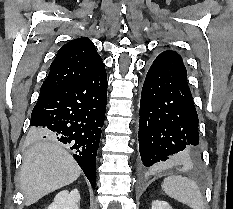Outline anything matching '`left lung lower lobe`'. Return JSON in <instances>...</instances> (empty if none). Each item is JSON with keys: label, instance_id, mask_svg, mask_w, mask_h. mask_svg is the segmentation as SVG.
Masks as SVG:
<instances>
[{"label": "left lung lower lobe", "instance_id": "obj_1", "mask_svg": "<svg viewBox=\"0 0 233 209\" xmlns=\"http://www.w3.org/2000/svg\"><path fill=\"white\" fill-rule=\"evenodd\" d=\"M198 115L181 56L164 51L153 61L143 84L139 151L148 170L199 161Z\"/></svg>", "mask_w": 233, "mask_h": 209}]
</instances>
